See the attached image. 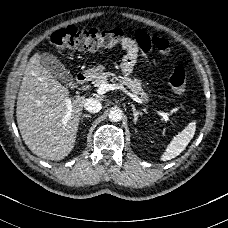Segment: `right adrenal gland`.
<instances>
[{"label": "right adrenal gland", "mask_w": 228, "mask_h": 228, "mask_svg": "<svg viewBox=\"0 0 228 228\" xmlns=\"http://www.w3.org/2000/svg\"><path fill=\"white\" fill-rule=\"evenodd\" d=\"M83 118H91V115H89V114H83L82 115V118H81V121H82Z\"/></svg>", "instance_id": "1"}]
</instances>
